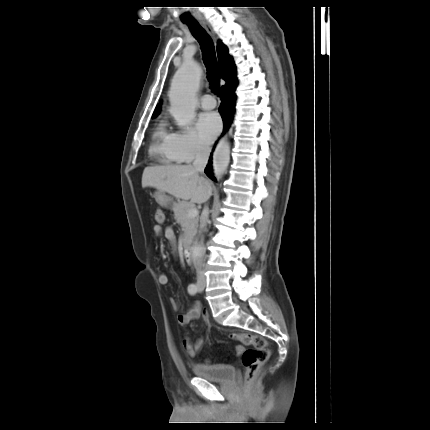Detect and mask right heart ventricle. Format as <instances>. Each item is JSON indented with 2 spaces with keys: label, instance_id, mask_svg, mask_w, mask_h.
<instances>
[{
  "label": "right heart ventricle",
  "instance_id": "e07e8e85",
  "mask_svg": "<svg viewBox=\"0 0 430 430\" xmlns=\"http://www.w3.org/2000/svg\"><path fill=\"white\" fill-rule=\"evenodd\" d=\"M171 137L165 122H160L152 134L150 153L163 164L180 162L172 149Z\"/></svg>",
  "mask_w": 430,
  "mask_h": 430
}]
</instances>
